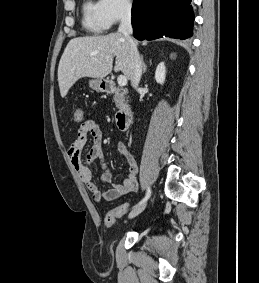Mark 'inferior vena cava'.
Segmentation results:
<instances>
[{"mask_svg":"<svg viewBox=\"0 0 259 283\" xmlns=\"http://www.w3.org/2000/svg\"><path fill=\"white\" fill-rule=\"evenodd\" d=\"M118 32L121 33L128 45L130 50V69H131V85L133 88H138L141 74H142V63L136 44L132 39L131 35L133 32L131 25V7L125 6L121 14V22L118 28Z\"/></svg>","mask_w":259,"mask_h":283,"instance_id":"1","label":"inferior vena cava"}]
</instances>
